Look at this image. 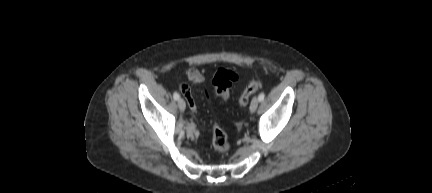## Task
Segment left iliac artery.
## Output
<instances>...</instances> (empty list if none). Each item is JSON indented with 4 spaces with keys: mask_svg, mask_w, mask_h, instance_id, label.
<instances>
[{
    "mask_svg": "<svg viewBox=\"0 0 432 193\" xmlns=\"http://www.w3.org/2000/svg\"><path fill=\"white\" fill-rule=\"evenodd\" d=\"M264 97H265V94H264L263 92H261V93L259 94V96H258L259 101H260V102L263 101V100H264Z\"/></svg>",
    "mask_w": 432,
    "mask_h": 193,
    "instance_id": "obj_1",
    "label": "left iliac artery"
}]
</instances>
